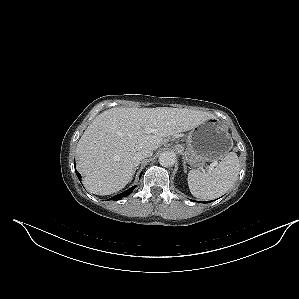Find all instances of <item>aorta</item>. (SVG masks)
<instances>
[{"label":"aorta","mask_w":299,"mask_h":299,"mask_svg":"<svg viewBox=\"0 0 299 299\" xmlns=\"http://www.w3.org/2000/svg\"><path fill=\"white\" fill-rule=\"evenodd\" d=\"M158 161L163 167H171L176 162V156L173 152H162Z\"/></svg>","instance_id":"aorta-1"}]
</instances>
